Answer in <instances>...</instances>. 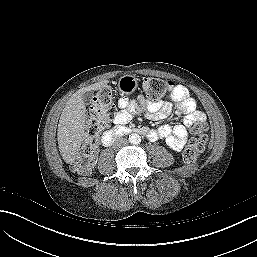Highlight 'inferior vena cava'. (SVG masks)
Returning a JSON list of instances; mask_svg holds the SVG:
<instances>
[{
  "label": "inferior vena cava",
  "mask_w": 257,
  "mask_h": 257,
  "mask_svg": "<svg viewBox=\"0 0 257 257\" xmlns=\"http://www.w3.org/2000/svg\"><path fill=\"white\" fill-rule=\"evenodd\" d=\"M128 144V140L123 138V137H120L118 138L114 144H113V148L114 149H120V148H123L125 147L126 145Z\"/></svg>",
  "instance_id": "1"
}]
</instances>
